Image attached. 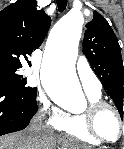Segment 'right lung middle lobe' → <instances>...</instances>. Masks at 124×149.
<instances>
[{
	"instance_id": "dd1d6c3e",
	"label": "right lung middle lobe",
	"mask_w": 124,
	"mask_h": 149,
	"mask_svg": "<svg viewBox=\"0 0 124 149\" xmlns=\"http://www.w3.org/2000/svg\"><path fill=\"white\" fill-rule=\"evenodd\" d=\"M17 70L18 69L16 68L0 67V80L9 83L10 85L21 91L36 93V88L27 87L26 79L21 78V76L16 74Z\"/></svg>"
}]
</instances>
